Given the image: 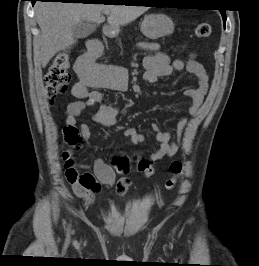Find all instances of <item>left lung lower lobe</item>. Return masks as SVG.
I'll list each match as a JSON object with an SVG mask.
<instances>
[{
  "label": "left lung lower lobe",
  "mask_w": 259,
  "mask_h": 266,
  "mask_svg": "<svg viewBox=\"0 0 259 266\" xmlns=\"http://www.w3.org/2000/svg\"><path fill=\"white\" fill-rule=\"evenodd\" d=\"M221 13H222V18H223V22H224V26H225V23H226V15H225V10H220Z\"/></svg>",
  "instance_id": "0a47b994"
}]
</instances>
